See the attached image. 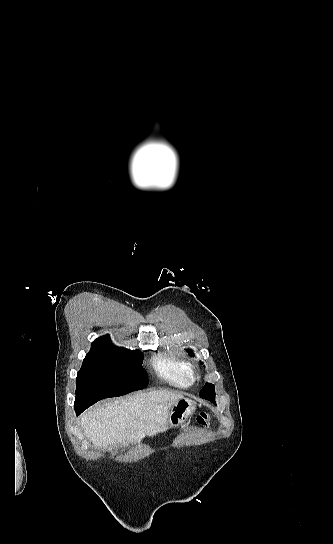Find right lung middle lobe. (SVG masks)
<instances>
[{
  "label": "right lung middle lobe",
  "instance_id": "right-lung-middle-lobe-1",
  "mask_svg": "<svg viewBox=\"0 0 333 544\" xmlns=\"http://www.w3.org/2000/svg\"><path fill=\"white\" fill-rule=\"evenodd\" d=\"M139 350L113 345L105 353L87 354L76 378L75 407L85 410L97 401L141 390L148 377Z\"/></svg>",
  "mask_w": 333,
  "mask_h": 544
}]
</instances>
